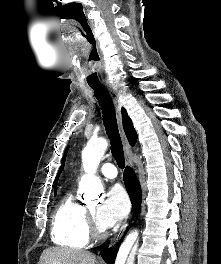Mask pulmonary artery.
<instances>
[{"instance_id": "e3ab8cb5", "label": "pulmonary artery", "mask_w": 221, "mask_h": 264, "mask_svg": "<svg viewBox=\"0 0 221 264\" xmlns=\"http://www.w3.org/2000/svg\"><path fill=\"white\" fill-rule=\"evenodd\" d=\"M100 172L108 179H114L117 176V169L112 163L103 164L100 168Z\"/></svg>"}]
</instances>
